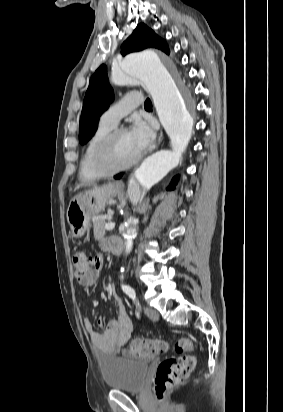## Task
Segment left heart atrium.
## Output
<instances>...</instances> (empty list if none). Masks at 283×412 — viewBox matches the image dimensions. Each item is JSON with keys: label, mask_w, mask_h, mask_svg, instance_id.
I'll use <instances>...</instances> for the list:
<instances>
[{"label": "left heart atrium", "mask_w": 283, "mask_h": 412, "mask_svg": "<svg viewBox=\"0 0 283 412\" xmlns=\"http://www.w3.org/2000/svg\"><path fill=\"white\" fill-rule=\"evenodd\" d=\"M128 133L139 153L146 149L154 139L152 128L140 119L134 122Z\"/></svg>", "instance_id": "left-heart-atrium-1"}]
</instances>
